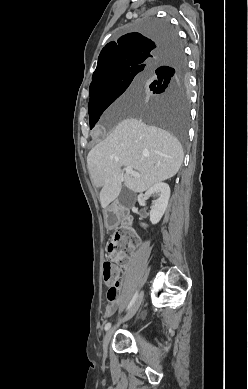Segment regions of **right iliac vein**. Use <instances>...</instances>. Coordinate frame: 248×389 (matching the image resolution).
I'll list each match as a JSON object with an SVG mask.
<instances>
[{"label":"right iliac vein","mask_w":248,"mask_h":389,"mask_svg":"<svg viewBox=\"0 0 248 389\" xmlns=\"http://www.w3.org/2000/svg\"><path fill=\"white\" fill-rule=\"evenodd\" d=\"M143 292H141L135 303L133 304L132 308L130 309V311L127 313V315L122 319L120 320L114 327H112L111 329H109L104 337V340H103V349H104V352H107V349H108V346H109V343H110V340L114 334V331L116 330V328L122 323V322H125L127 320H129L130 318H132L134 316V314L137 312L138 308L140 307L142 301H143Z\"/></svg>","instance_id":"obj_1"}]
</instances>
